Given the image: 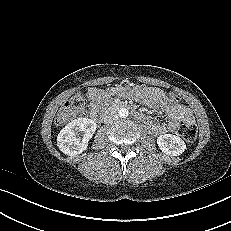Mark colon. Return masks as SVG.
<instances>
[{
	"label": "colon",
	"instance_id": "5ec220e1",
	"mask_svg": "<svg viewBox=\"0 0 231 231\" xmlns=\"http://www.w3.org/2000/svg\"><path fill=\"white\" fill-rule=\"evenodd\" d=\"M170 103L181 104V99L175 93H170L168 96ZM84 107V98L82 95H75L72 97L65 106L61 109L56 118V123L58 125H63L67 123L73 117L79 115ZM181 137L187 142H193L197 137V127L195 124H184L181 126L179 131Z\"/></svg>",
	"mask_w": 231,
	"mask_h": 231
}]
</instances>
